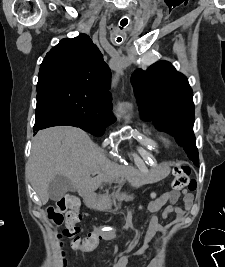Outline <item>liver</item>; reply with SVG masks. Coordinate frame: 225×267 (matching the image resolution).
Segmentation results:
<instances>
[{
	"instance_id": "6515ba94",
	"label": "liver",
	"mask_w": 225,
	"mask_h": 267,
	"mask_svg": "<svg viewBox=\"0 0 225 267\" xmlns=\"http://www.w3.org/2000/svg\"><path fill=\"white\" fill-rule=\"evenodd\" d=\"M26 170L45 205L49 200L48 186L57 175L67 177L74 190H84L97 188L126 169L108 160L104 151L83 130L55 126L41 130L35 136ZM94 174L98 176L92 179Z\"/></svg>"
}]
</instances>
